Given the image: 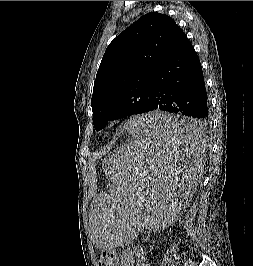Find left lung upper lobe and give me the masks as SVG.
Wrapping results in <instances>:
<instances>
[{
	"label": "left lung upper lobe",
	"mask_w": 253,
	"mask_h": 266,
	"mask_svg": "<svg viewBox=\"0 0 253 266\" xmlns=\"http://www.w3.org/2000/svg\"><path fill=\"white\" fill-rule=\"evenodd\" d=\"M176 27L167 15L151 12L110 43L91 99L96 130L109 120L145 113L158 60Z\"/></svg>",
	"instance_id": "5c2ea615"
}]
</instances>
